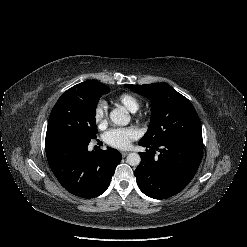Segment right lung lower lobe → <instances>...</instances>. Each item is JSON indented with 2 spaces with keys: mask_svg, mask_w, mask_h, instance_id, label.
<instances>
[{
  "mask_svg": "<svg viewBox=\"0 0 247 247\" xmlns=\"http://www.w3.org/2000/svg\"><path fill=\"white\" fill-rule=\"evenodd\" d=\"M88 144L57 138L46 141L45 148L49 166L59 183L71 194L90 199L107 190L122 156L110 147L89 151Z\"/></svg>",
  "mask_w": 247,
  "mask_h": 247,
  "instance_id": "obj_1",
  "label": "right lung lower lobe"
}]
</instances>
